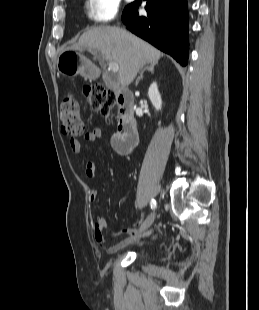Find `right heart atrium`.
I'll return each mask as SVG.
<instances>
[{
    "label": "right heart atrium",
    "mask_w": 259,
    "mask_h": 310,
    "mask_svg": "<svg viewBox=\"0 0 259 310\" xmlns=\"http://www.w3.org/2000/svg\"><path fill=\"white\" fill-rule=\"evenodd\" d=\"M87 18L95 24H106L113 21L120 9V0H85Z\"/></svg>",
    "instance_id": "1"
}]
</instances>
